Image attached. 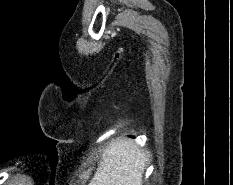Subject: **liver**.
<instances>
[{"mask_svg": "<svg viewBox=\"0 0 233 185\" xmlns=\"http://www.w3.org/2000/svg\"><path fill=\"white\" fill-rule=\"evenodd\" d=\"M149 154L131 139L112 141L88 185H142Z\"/></svg>", "mask_w": 233, "mask_h": 185, "instance_id": "liver-1", "label": "liver"}]
</instances>
